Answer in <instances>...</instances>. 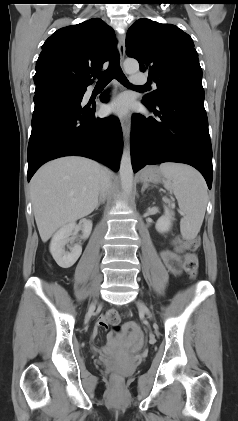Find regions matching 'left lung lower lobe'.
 Here are the masks:
<instances>
[{
    "instance_id": "left-lung-lower-lobe-1",
    "label": "left lung lower lobe",
    "mask_w": 238,
    "mask_h": 421,
    "mask_svg": "<svg viewBox=\"0 0 238 421\" xmlns=\"http://www.w3.org/2000/svg\"><path fill=\"white\" fill-rule=\"evenodd\" d=\"M145 105L160 119L133 115V171L137 172L146 164L186 163L201 172L211 189L212 146L203 86L185 85L161 94L154 105Z\"/></svg>"
}]
</instances>
